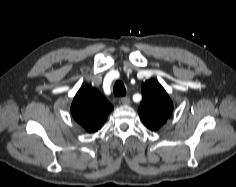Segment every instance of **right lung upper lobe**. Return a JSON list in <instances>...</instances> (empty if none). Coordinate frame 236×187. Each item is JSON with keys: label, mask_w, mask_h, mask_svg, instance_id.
<instances>
[{"label": "right lung upper lobe", "mask_w": 236, "mask_h": 187, "mask_svg": "<svg viewBox=\"0 0 236 187\" xmlns=\"http://www.w3.org/2000/svg\"><path fill=\"white\" fill-rule=\"evenodd\" d=\"M113 106L96 89L81 88L71 105L74 119L89 133L98 131L104 124Z\"/></svg>", "instance_id": "obj_1"}]
</instances>
